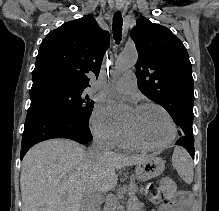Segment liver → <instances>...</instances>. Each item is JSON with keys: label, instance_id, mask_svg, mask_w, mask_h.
<instances>
[{"label": "liver", "instance_id": "obj_1", "mask_svg": "<svg viewBox=\"0 0 219 211\" xmlns=\"http://www.w3.org/2000/svg\"><path fill=\"white\" fill-rule=\"evenodd\" d=\"M146 157L144 153H109L93 159L91 151H85L72 139L40 141L27 151L22 161V211L100 209L103 191L117 183L115 169L140 163Z\"/></svg>", "mask_w": 219, "mask_h": 211}]
</instances>
